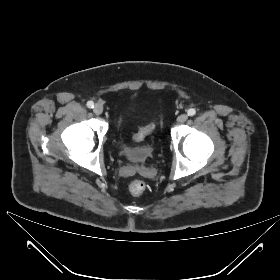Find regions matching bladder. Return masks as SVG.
Instances as JSON below:
<instances>
[{
    "mask_svg": "<svg viewBox=\"0 0 280 280\" xmlns=\"http://www.w3.org/2000/svg\"><path fill=\"white\" fill-rule=\"evenodd\" d=\"M125 122L126 117L122 112L119 114L116 121L117 146L129 160L136 164H144L151 158L153 148L149 145L129 146L124 143L122 140L121 131Z\"/></svg>",
    "mask_w": 280,
    "mask_h": 280,
    "instance_id": "31cf9c89",
    "label": "bladder"
}]
</instances>
